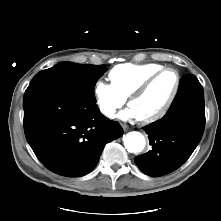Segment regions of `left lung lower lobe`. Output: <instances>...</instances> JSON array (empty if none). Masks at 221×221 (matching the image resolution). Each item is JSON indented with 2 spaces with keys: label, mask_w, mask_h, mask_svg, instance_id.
<instances>
[{
  "label": "left lung lower lobe",
  "mask_w": 221,
  "mask_h": 221,
  "mask_svg": "<svg viewBox=\"0 0 221 221\" xmlns=\"http://www.w3.org/2000/svg\"><path fill=\"white\" fill-rule=\"evenodd\" d=\"M204 127L203 88L195 76H185L165 116L144 127L152 149L135 157V163L152 177L173 172L195 150Z\"/></svg>",
  "instance_id": "left-lung-lower-lobe-1"
}]
</instances>
